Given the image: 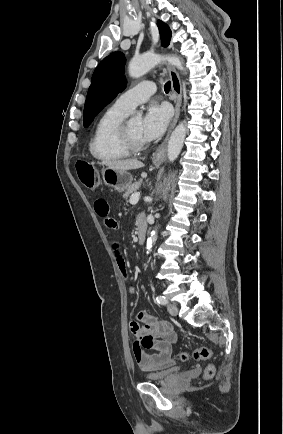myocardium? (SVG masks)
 I'll use <instances>...</instances> for the list:
<instances>
[{
    "mask_svg": "<svg viewBox=\"0 0 283 434\" xmlns=\"http://www.w3.org/2000/svg\"><path fill=\"white\" fill-rule=\"evenodd\" d=\"M120 135L124 146L130 152H138L146 147V143L144 141H140L135 139L130 130H129V121H124L121 125Z\"/></svg>",
    "mask_w": 283,
    "mask_h": 434,
    "instance_id": "1",
    "label": "myocardium"
}]
</instances>
